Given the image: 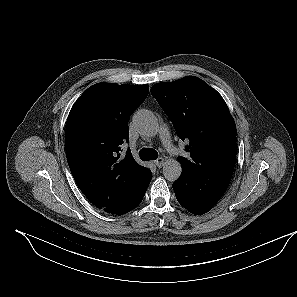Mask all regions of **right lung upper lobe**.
Returning a JSON list of instances; mask_svg holds the SVG:
<instances>
[{"label":"right lung upper lobe","instance_id":"1","mask_svg":"<svg viewBox=\"0 0 297 297\" xmlns=\"http://www.w3.org/2000/svg\"><path fill=\"white\" fill-rule=\"evenodd\" d=\"M149 92L148 85L97 83L73 105L66 122L67 161L75 182L99 209L117 214L152 178L130 149L128 120Z\"/></svg>","mask_w":297,"mask_h":297}]
</instances>
